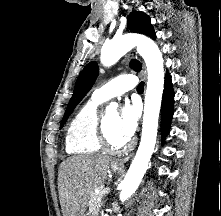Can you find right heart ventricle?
Returning a JSON list of instances; mask_svg holds the SVG:
<instances>
[{
    "label": "right heart ventricle",
    "instance_id": "1",
    "mask_svg": "<svg viewBox=\"0 0 221 216\" xmlns=\"http://www.w3.org/2000/svg\"><path fill=\"white\" fill-rule=\"evenodd\" d=\"M101 102L89 100L75 115L66 133V150L70 154H93L102 150L99 138Z\"/></svg>",
    "mask_w": 221,
    "mask_h": 216
}]
</instances>
